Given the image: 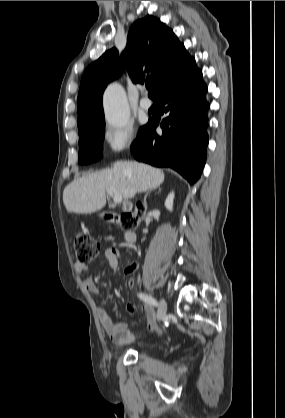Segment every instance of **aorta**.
Segmentation results:
<instances>
[{"label": "aorta", "mask_w": 285, "mask_h": 418, "mask_svg": "<svg viewBox=\"0 0 285 418\" xmlns=\"http://www.w3.org/2000/svg\"><path fill=\"white\" fill-rule=\"evenodd\" d=\"M103 106L107 123L114 128L125 127L130 112L123 87L117 83L110 84L104 92Z\"/></svg>", "instance_id": "obj_1"}]
</instances>
